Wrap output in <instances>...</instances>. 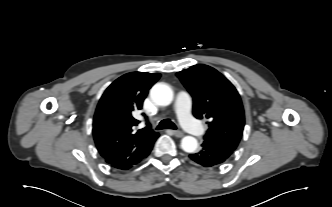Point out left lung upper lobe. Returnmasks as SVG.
I'll use <instances>...</instances> for the list:
<instances>
[{
  "instance_id": "1",
  "label": "left lung upper lobe",
  "mask_w": 332,
  "mask_h": 207,
  "mask_svg": "<svg viewBox=\"0 0 332 207\" xmlns=\"http://www.w3.org/2000/svg\"><path fill=\"white\" fill-rule=\"evenodd\" d=\"M176 75L193 97V115L209 120L204 140L234 151L245 123L236 88L217 70L203 64L194 65Z\"/></svg>"
}]
</instances>
